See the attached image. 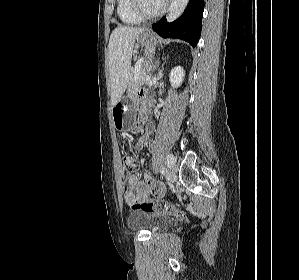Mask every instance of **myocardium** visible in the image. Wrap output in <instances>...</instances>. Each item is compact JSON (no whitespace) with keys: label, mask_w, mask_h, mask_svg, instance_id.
Wrapping results in <instances>:
<instances>
[{"label":"myocardium","mask_w":299,"mask_h":280,"mask_svg":"<svg viewBox=\"0 0 299 280\" xmlns=\"http://www.w3.org/2000/svg\"><path fill=\"white\" fill-rule=\"evenodd\" d=\"M130 4H131V9H132L133 13L138 18H140L141 20H153V19H156L164 14V12L166 11L167 6H168V0L164 1L161 8L158 11H156L155 13L145 12L141 6V0H130Z\"/></svg>","instance_id":"f54148a6"}]
</instances>
